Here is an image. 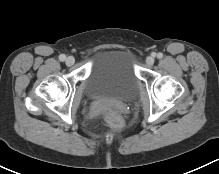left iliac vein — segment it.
<instances>
[{
    "instance_id": "left-iliac-vein-1",
    "label": "left iliac vein",
    "mask_w": 219,
    "mask_h": 174,
    "mask_svg": "<svg viewBox=\"0 0 219 174\" xmlns=\"http://www.w3.org/2000/svg\"><path fill=\"white\" fill-rule=\"evenodd\" d=\"M154 58L152 56H148L146 58V63L149 65V66H152L154 64Z\"/></svg>"
}]
</instances>
